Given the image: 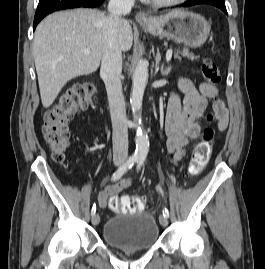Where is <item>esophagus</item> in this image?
<instances>
[{"label":"esophagus","mask_w":265,"mask_h":269,"mask_svg":"<svg viewBox=\"0 0 265 269\" xmlns=\"http://www.w3.org/2000/svg\"><path fill=\"white\" fill-rule=\"evenodd\" d=\"M135 19L138 23H151L153 21L152 17L145 12H138Z\"/></svg>","instance_id":"1"}]
</instances>
